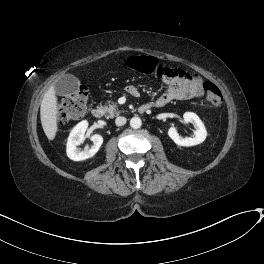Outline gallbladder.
Instances as JSON below:
<instances>
[{
    "instance_id": "gallbladder-1",
    "label": "gallbladder",
    "mask_w": 264,
    "mask_h": 264,
    "mask_svg": "<svg viewBox=\"0 0 264 264\" xmlns=\"http://www.w3.org/2000/svg\"><path fill=\"white\" fill-rule=\"evenodd\" d=\"M79 84L78 78L74 75L67 74L56 82L55 89L58 94H70L79 89Z\"/></svg>"
}]
</instances>
